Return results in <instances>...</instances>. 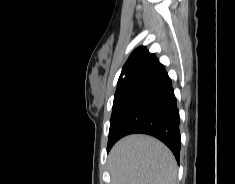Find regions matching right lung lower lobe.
Instances as JSON below:
<instances>
[{
  "label": "right lung lower lobe",
  "mask_w": 235,
  "mask_h": 184,
  "mask_svg": "<svg viewBox=\"0 0 235 184\" xmlns=\"http://www.w3.org/2000/svg\"><path fill=\"white\" fill-rule=\"evenodd\" d=\"M179 124L172 81L164 66L159 64L125 90L111 117L109 135L112 146L120 138L133 133L154 136L170 148L179 163Z\"/></svg>",
  "instance_id": "98d812e1"
}]
</instances>
